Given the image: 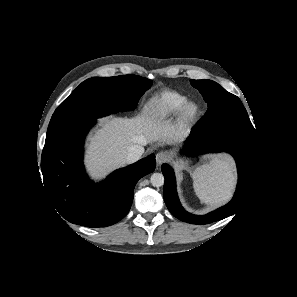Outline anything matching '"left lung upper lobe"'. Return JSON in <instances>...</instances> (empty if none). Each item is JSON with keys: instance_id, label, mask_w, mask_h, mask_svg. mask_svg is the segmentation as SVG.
Listing matches in <instances>:
<instances>
[{"instance_id": "obj_1", "label": "left lung upper lobe", "mask_w": 297, "mask_h": 297, "mask_svg": "<svg viewBox=\"0 0 297 297\" xmlns=\"http://www.w3.org/2000/svg\"><path fill=\"white\" fill-rule=\"evenodd\" d=\"M208 103V110L195 125L200 133L232 130L256 137L255 129L240 99L211 80H191Z\"/></svg>"}]
</instances>
